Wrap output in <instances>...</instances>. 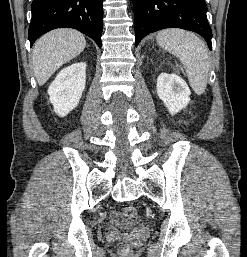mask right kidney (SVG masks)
Returning a JSON list of instances; mask_svg holds the SVG:
<instances>
[{
    "mask_svg": "<svg viewBox=\"0 0 247 257\" xmlns=\"http://www.w3.org/2000/svg\"><path fill=\"white\" fill-rule=\"evenodd\" d=\"M86 83V63H74L62 69L48 88L54 111L66 116L79 103Z\"/></svg>",
    "mask_w": 247,
    "mask_h": 257,
    "instance_id": "1",
    "label": "right kidney"
}]
</instances>
